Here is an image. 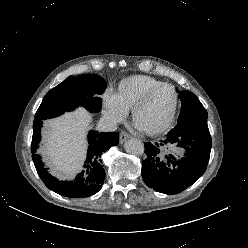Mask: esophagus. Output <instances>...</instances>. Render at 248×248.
I'll use <instances>...</instances> for the list:
<instances>
[{
  "instance_id": "obj_1",
  "label": "esophagus",
  "mask_w": 248,
  "mask_h": 248,
  "mask_svg": "<svg viewBox=\"0 0 248 248\" xmlns=\"http://www.w3.org/2000/svg\"><path fill=\"white\" fill-rule=\"evenodd\" d=\"M129 137L130 135L127 132L121 131L120 132V143L125 142Z\"/></svg>"
}]
</instances>
